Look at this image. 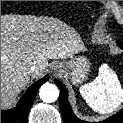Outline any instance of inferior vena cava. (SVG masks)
Wrapping results in <instances>:
<instances>
[{
    "label": "inferior vena cava",
    "mask_w": 123,
    "mask_h": 123,
    "mask_svg": "<svg viewBox=\"0 0 123 123\" xmlns=\"http://www.w3.org/2000/svg\"><path fill=\"white\" fill-rule=\"evenodd\" d=\"M36 66L35 65H33V66H31L30 68H29V73H32V72H34L35 70H36Z\"/></svg>",
    "instance_id": "obj_1"
}]
</instances>
